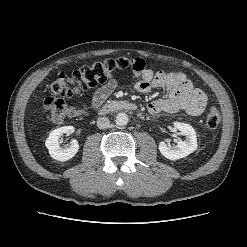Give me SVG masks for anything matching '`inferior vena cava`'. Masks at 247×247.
<instances>
[{
    "mask_svg": "<svg viewBox=\"0 0 247 247\" xmlns=\"http://www.w3.org/2000/svg\"><path fill=\"white\" fill-rule=\"evenodd\" d=\"M109 125H110V122H109V119L107 117L103 116V117H99L97 119V126H98V128H100V129H106V128L109 127Z\"/></svg>",
    "mask_w": 247,
    "mask_h": 247,
    "instance_id": "1",
    "label": "inferior vena cava"
}]
</instances>
